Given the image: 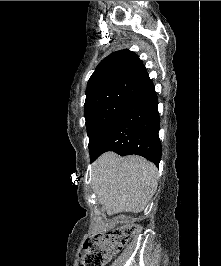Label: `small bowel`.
I'll use <instances>...</instances> for the list:
<instances>
[{"instance_id":"small-bowel-1","label":"small bowel","mask_w":221,"mask_h":266,"mask_svg":"<svg viewBox=\"0 0 221 266\" xmlns=\"http://www.w3.org/2000/svg\"><path fill=\"white\" fill-rule=\"evenodd\" d=\"M79 261H82V258H79ZM78 265L79 266H86V264L85 263H82V262H78Z\"/></svg>"}]
</instances>
